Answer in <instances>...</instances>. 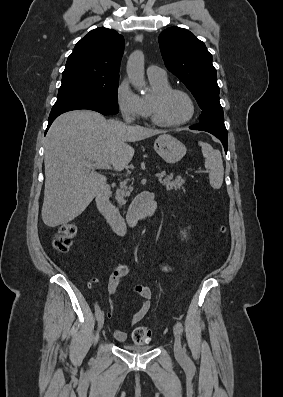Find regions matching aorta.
Masks as SVG:
<instances>
[{"mask_svg": "<svg viewBox=\"0 0 283 397\" xmlns=\"http://www.w3.org/2000/svg\"><path fill=\"white\" fill-rule=\"evenodd\" d=\"M127 75L131 84L139 91L146 87L144 79V55L141 51L133 52L127 62Z\"/></svg>", "mask_w": 283, "mask_h": 397, "instance_id": "1", "label": "aorta"}]
</instances>
